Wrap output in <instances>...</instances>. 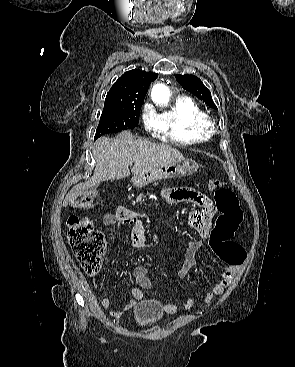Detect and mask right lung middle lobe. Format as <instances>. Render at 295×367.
Instances as JSON below:
<instances>
[{
  "mask_svg": "<svg viewBox=\"0 0 295 367\" xmlns=\"http://www.w3.org/2000/svg\"><path fill=\"white\" fill-rule=\"evenodd\" d=\"M143 101L107 102L100 117L95 139L100 135L134 129L139 123Z\"/></svg>",
  "mask_w": 295,
  "mask_h": 367,
  "instance_id": "obj_1",
  "label": "right lung middle lobe"
}]
</instances>
